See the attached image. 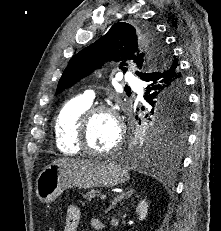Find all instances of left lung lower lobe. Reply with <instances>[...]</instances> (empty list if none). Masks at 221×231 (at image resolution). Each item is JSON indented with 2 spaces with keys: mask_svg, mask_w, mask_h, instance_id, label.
I'll use <instances>...</instances> for the list:
<instances>
[{
  "mask_svg": "<svg viewBox=\"0 0 221 231\" xmlns=\"http://www.w3.org/2000/svg\"><path fill=\"white\" fill-rule=\"evenodd\" d=\"M177 63L175 57L169 58L163 67L141 77L142 80L148 82L144 99L149 105L158 101L162 110H169L177 101L176 96H174V90L184 88L185 91L184 79ZM181 144L182 142H168L154 135L148 145L143 146L135 152L134 157L138 161L151 160L166 149L177 152Z\"/></svg>",
  "mask_w": 221,
  "mask_h": 231,
  "instance_id": "obj_1",
  "label": "left lung lower lobe"
}]
</instances>
